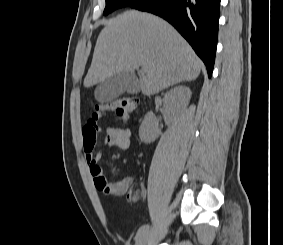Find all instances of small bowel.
<instances>
[{
    "label": "small bowel",
    "mask_w": 283,
    "mask_h": 245,
    "mask_svg": "<svg viewBox=\"0 0 283 245\" xmlns=\"http://www.w3.org/2000/svg\"><path fill=\"white\" fill-rule=\"evenodd\" d=\"M101 130L98 120L89 119L82 128L83 148L86 162L89 166L90 174L95 188L104 195L122 196L128 192L131 184L130 178L120 181L110 182L106 179L103 169L99 162L101 152H94L96 138ZM104 145L108 147H117L121 150H128L131 146L132 132L130 128L106 127Z\"/></svg>",
    "instance_id": "c3829d8e"
}]
</instances>
